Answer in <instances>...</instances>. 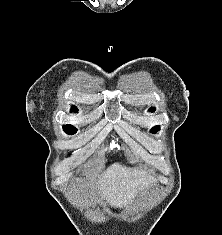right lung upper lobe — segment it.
Returning <instances> with one entry per match:
<instances>
[{
  "label": "right lung upper lobe",
  "mask_w": 222,
  "mask_h": 235,
  "mask_svg": "<svg viewBox=\"0 0 222 235\" xmlns=\"http://www.w3.org/2000/svg\"><path fill=\"white\" fill-rule=\"evenodd\" d=\"M76 111H77V107L72 106V108H71V112H76Z\"/></svg>",
  "instance_id": "right-lung-upper-lobe-1"
}]
</instances>
